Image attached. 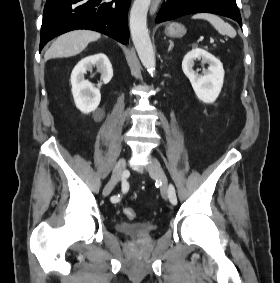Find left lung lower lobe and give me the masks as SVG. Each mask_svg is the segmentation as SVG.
<instances>
[{
	"mask_svg": "<svg viewBox=\"0 0 280 283\" xmlns=\"http://www.w3.org/2000/svg\"><path fill=\"white\" fill-rule=\"evenodd\" d=\"M207 12L229 17L242 27L236 3L229 0H167L155 20L156 23L172 20L191 13Z\"/></svg>",
	"mask_w": 280,
	"mask_h": 283,
	"instance_id": "0a47b994",
	"label": "left lung lower lobe"
}]
</instances>
